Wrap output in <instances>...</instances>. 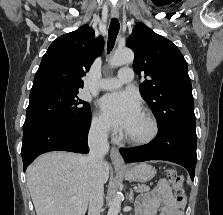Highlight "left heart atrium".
I'll use <instances>...</instances> for the list:
<instances>
[{
    "label": "left heart atrium",
    "instance_id": "obj_1",
    "mask_svg": "<svg viewBox=\"0 0 223 215\" xmlns=\"http://www.w3.org/2000/svg\"><path fill=\"white\" fill-rule=\"evenodd\" d=\"M99 105L105 120L112 126L126 130L140 113L138 95L131 90L104 95Z\"/></svg>",
    "mask_w": 223,
    "mask_h": 215
}]
</instances>
